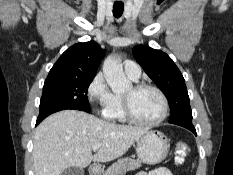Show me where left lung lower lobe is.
I'll return each mask as SVG.
<instances>
[{"label":"left lung lower lobe","instance_id":"left-lung-lower-lobe-1","mask_svg":"<svg viewBox=\"0 0 233 175\" xmlns=\"http://www.w3.org/2000/svg\"><path fill=\"white\" fill-rule=\"evenodd\" d=\"M185 128L189 129V130L192 131L195 135H197L194 126H186Z\"/></svg>","mask_w":233,"mask_h":175}]
</instances>
